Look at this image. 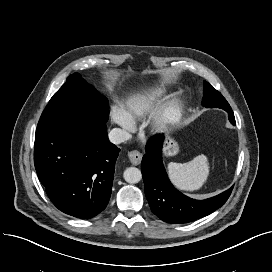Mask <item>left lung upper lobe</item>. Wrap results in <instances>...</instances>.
<instances>
[{"instance_id": "left-lung-upper-lobe-1", "label": "left lung upper lobe", "mask_w": 272, "mask_h": 272, "mask_svg": "<svg viewBox=\"0 0 272 272\" xmlns=\"http://www.w3.org/2000/svg\"><path fill=\"white\" fill-rule=\"evenodd\" d=\"M203 83V106H205L206 108H221L225 111L231 109L230 105L220 92L214 89L208 82L204 81Z\"/></svg>"}]
</instances>
